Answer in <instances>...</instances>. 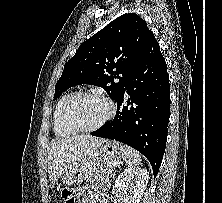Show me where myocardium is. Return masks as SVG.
Instances as JSON below:
<instances>
[{
  "label": "myocardium",
  "instance_id": "myocardium-1",
  "mask_svg": "<svg viewBox=\"0 0 222 203\" xmlns=\"http://www.w3.org/2000/svg\"><path fill=\"white\" fill-rule=\"evenodd\" d=\"M86 96H92V97H97L104 101L108 107V112L105 115V117L98 122L97 124L90 126V127H81L75 124L71 118H70V110L74 103L80 99L81 97H86ZM115 114V106L113 102L103 93L96 92V91H84V92H77L73 94L69 100L66 102L63 111H62V122L64 126L74 132H79V133H86V132H93L101 127H103L109 120L112 119V117Z\"/></svg>",
  "mask_w": 222,
  "mask_h": 203
}]
</instances>
